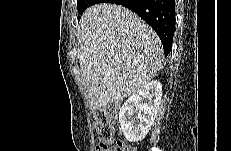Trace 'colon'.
I'll return each instance as SVG.
<instances>
[{"label":"colon","mask_w":231,"mask_h":151,"mask_svg":"<svg viewBox=\"0 0 231 151\" xmlns=\"http://www.w3.org/2000/svg\"><path fill=\"white\" fill-rule=\"evenodd\" d=\"M117 112L113 108L98 110L95 114V126L101 141L96 151H132L129 144L118 141L112 145L114 124Z\"/></svg>","instance_id":"colon-1"}]
</instances>
